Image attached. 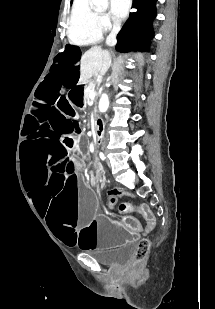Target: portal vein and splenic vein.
Listing matches in <instances>:
<instances>
[{"instance_id": "obj_1", "label": "portal vein and splenic vein", "mask_w": 215, "mask_h": 309, "mask_svg": "<svg viewBox=\"0 0 215 309\" xmlns=\"http://www.w3.org/2000/svg\"><path fill=\"white\" fill-rule=\"evenodd\" d=\"M96 92H94V90H90L89 92V96H95Z\"/></svg>"}]
</instances>
